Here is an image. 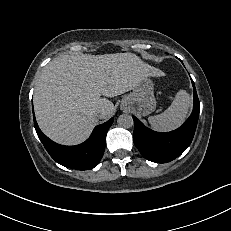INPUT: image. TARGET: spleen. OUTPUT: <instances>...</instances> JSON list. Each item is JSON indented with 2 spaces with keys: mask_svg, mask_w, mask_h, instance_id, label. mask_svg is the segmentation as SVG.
<instances>
[{
  "mask_svg": "<svg viewBox=\"0 0 231 231\" xmlns=\"http://www.w3.org/2000/svg\"><path fill=\"white\" fill-rule=\"evenodd\" d=\"M190 103L189 94L185 90H180L163 113L148 118L151 127L159 132H168L178 128L187 117Z\"/></svg>",
  "mask_w": 231,
  "mask_h": 231,
  "instance_id": "obj_1",
  "label": "spleen"
}]
</instances>
